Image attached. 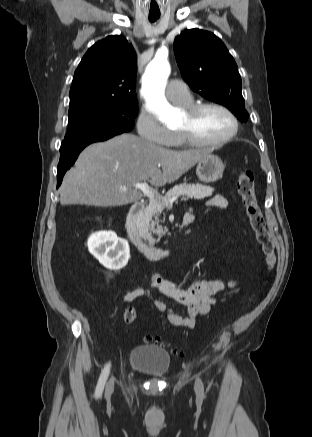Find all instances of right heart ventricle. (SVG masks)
Returning <instances> with one entry per match:
<instances>
[{"label": "right heart ventricle", "instance_id": "1", "mask_svg": "<svg viewBox=\"0 0 312 437\" xmlns=\"http://www.w3.org/2000/svg\"><path fill=\"white\" fill-rule=\"evenodd\" d=\"M189 105H191V102L189 104H187V105H184V106L187 107ZM185 144L186 143H184V141L182 140L180 134L178 132L174 133V137H173V140H172L170 145H173V146H183Z\"/></svg>", "mask_w": 312, "mask_h": 437}]
</instances>
